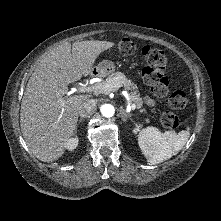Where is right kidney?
<instances>
[{
  "instance_id": "ca27d5eb",
  "label": "right kidney",
  "mask_w": 221,
  "mask_h": 221,
  "mask_svg": "<svg viewBox=\"0 0 221 221\" xmlns=\"http://www.w3.org/2000/svg\"><path fill=\"white\" fill-rule=\"evenodd\" d=\"M78 146V138H70L66 142V148L69 150H74Z\"/></svg>"
}]
</instances>
